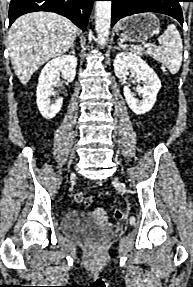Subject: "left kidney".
<instances>
[{"instance_id":"1","label":"left kidney","mask_w":193,"mask_h":287,"mask_svg":"<svg viewBox=\"0 0 193 287\" xmlns=\"http://www.w3.org/2000/svg\"><path fill=\"white\" fill-rule=\"evenodd\" d=\"M129 71L133 72L136 82H145L138 89L141 100H138L128 86L124 87V96L130 109L142 115L150 111L154 106L157 94L161 88V81L153 69L137 54L132 52H120L114 59V72L119 79H127ZM135 82V81H133Z\"/></svg>"}]
</instances>
